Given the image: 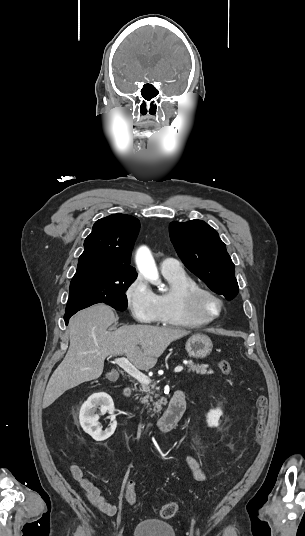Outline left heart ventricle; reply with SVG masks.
<instances>
[{"instance_id": "b2bd125f", "label": "left heart ventricle", "mask_w": 305, "mask_h": 536, "mask_svg": "<svg viewBox=\"0 0 305 536\" xmlns=\"http://www.w3.org/2000/svg\"><path fill=\"white\" fill-rule=\"evenodd\" d=\"M220 310V303L213 297H205L203 300V315L206 318L215 316Z\"/></svg>"}]
</instances>
